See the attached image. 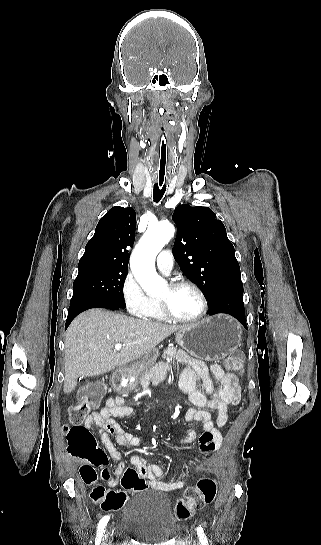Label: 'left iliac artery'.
I'll list each match as a JSON object with an SVG mask.
<instances>
[{"label": "left iliac artery", "instance_id": "1", "mask_svg": "<svg viewBox=\"0 0 321 545\" xmlns=\"http://www.w3.org/2000/svg\"><path fill=\"white\" fill-rule=\"evenodd\" d=\"M197 535L199 537V540L201 542V545H208L207 538L203 532V529L201 527L197 528Z\"/></svg>", "mask_w": 321, "mask_h": 545}]
</instances>
